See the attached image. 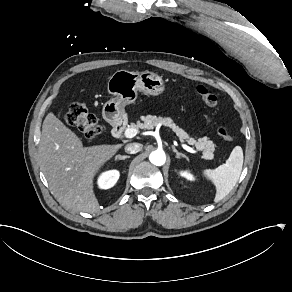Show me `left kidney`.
<instances>
[{
	"label": "left kidney",
	"instance_id": "1",
	"mask_svg": "<svg viewBox=\"0 0 292 292\" xmlns=\"http://www.w3.org/2000/svg\"><path fill=\"white\" fill-rule=\"evenodd\" d=\"M180 175L190 181H194L195 180V177L189 173L188 171H180Z\"/></svg>",
	"mask_w": 292,
	"mask_h": 292
}]
</instances>
